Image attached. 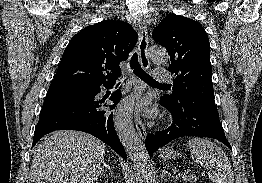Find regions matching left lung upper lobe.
Instances as JSON below:
<instances>
[{
  "label": "left lung upper lobe",
  "mask_w": 262,
  "mask_h": 183,
  "mask_svg": "<svg viewBox=\"0 0 262 183\" xmlns=\"http://www.w3.org/2000/svg\"><path fill=\"white\" fill-rule=\"evenodd\" d=\"M153 38L170 55L168 70L175 74L172 93L160 101L215 105L209 39L202 25L180 15L169 14L153 30Z\"/></svg>",
  "instance_id": "5c2ea615"
}]
</instances>
